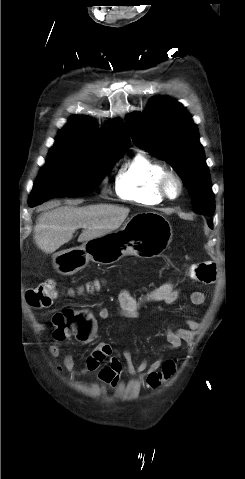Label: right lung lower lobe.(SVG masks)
<instances>
[{
	"label": "right lung lower lobe",
	"mask_w": 245,
	"mask_h": 479,
	"mask_svg": "<svg viewBox=\"0 0 245 479\" xmlns=\"http://www.w3.org/2000/svg\"><path fill=\"white\" fill-rule=\"evenodd\" d=\"M30 207H34V205H29Z\"/></svg>",
	"instance_id": "right-lung-lower-lobe-1"
}]
</instances>
